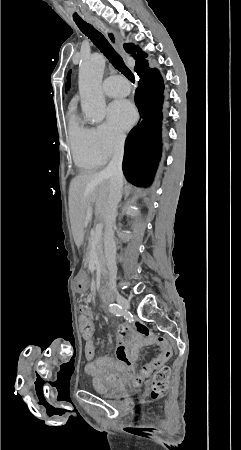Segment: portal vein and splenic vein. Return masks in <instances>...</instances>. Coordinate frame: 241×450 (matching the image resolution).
Returning <instances> with one entry per match:
<instances>
[{
	"instance_id": "portal-vein-and-splenic-vein-1",
	"label": "portal vein and splenic vein",
	"mask_w": 241,
	"mask_h": 450,
	"mask_svg": "<svg viewBox=\"0 0 241 450\" xmlns=\"http://www.w3.org/2000/svg\"><path fill=\"white\" fill-rule=\"evenodd\" d=\"M102 230H103V224H97L95 228V232L93 234V238H91L92 242L93 240H99L102 236Z\"/></svg>"
}]
</instances>
